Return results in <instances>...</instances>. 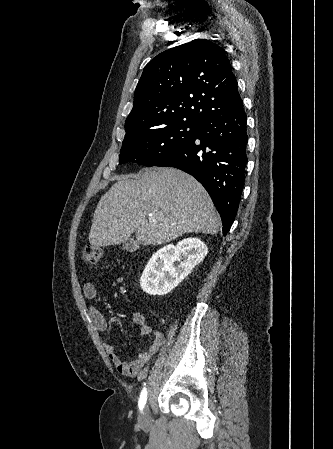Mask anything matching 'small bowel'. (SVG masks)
I'll use <instances>...</instances> for the list:
<instances>
[{
    "instance_id": "1",
    "label": "small bowel",
    "mask_w": 333,
    "mask_h": 449,
    "mask_svg": "<svg viewBox=\"0 0 333 449\" xmlns=\"http://www.w3.org/2000/svg\"><path fill=\"white\" fill-rule=\"evenodd\" d=\"M83 293L89 300H94L97 297V285L88 281L83 285ZM90 318L94 326L99 331H105L107 329V321L102 313L92 306L89 309ZM131 319L139 327L140 335L149 338L148 346L141 350L137 358L127 362L124 361L116 351V345L111 343H104V350L108 355L109 360L116 367L119 373L126 376H135L139 374L144 365L152 358V356L159 350L163 343V335L159 332H154L150 325L146 321V317L141 312H133Z\"/></svg>"
}]
</instances>
